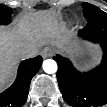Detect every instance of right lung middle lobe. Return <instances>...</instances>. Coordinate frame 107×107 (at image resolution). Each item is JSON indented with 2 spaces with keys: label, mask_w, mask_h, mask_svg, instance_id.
<instances>
[{
  "label": "right lung middle lobe",
  "mask_w": 107,
  "mask_h": 107,
  "mask_svg": "<svg viewBox=\"0 0 107 107\" xmlns=\"http://www.w3.org/2000/svg\"><path fill=\"white\" fill-rule=\"evenodd\" d=\"M12 10L4 5H0V24L7 25L11 22Z\"/></svg>",
  "instance_id": "1"
}]
</instances>
